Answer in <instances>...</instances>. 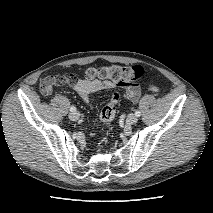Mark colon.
I'll return each instance as SVG.
<instances>
[{
	"label": "colon",
	"instance_id": "obj_1",
	"mask_svg": "<svg viewBox=\"0 0 213 213\" xmlns=\"http://www.w3.org/2000/svg\"><path fill=\"white\" fill-rule=\"evenodd\" d=\"M144 74V70L139 65L133 66H121V65H110L101 66L96 68H90L86 71L85 75L89 79L108 80L116 83L119 86L126 87L127 89L136 87L138 81ZM75 77L71 74H60L54 76V80L58 83H71ZM151 91H159V87L152 85L150 86ZM130 95L126 91L125 96ZM119 100L118 93H114L109 102L103 107L100 113V119L106 124L110 125L116 114V105Z\"/></svg>",
	"mask_w": 213,
	"mask_h": 213
}]
</instances>
